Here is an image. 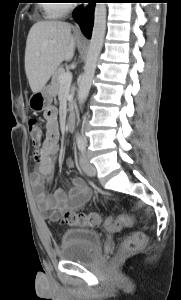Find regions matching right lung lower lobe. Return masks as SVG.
<instances>
[{"label":"right lung lower lobe","instance_id":"right-lung-lower-lobe-1","mask_svg":"<svg viewBox=\"0 0 181 300\" xmlns=\"http://www.w3.org/2000/svg\"><path fill=\"white\" fill-rule=\"evenodd\" d=\"M94 2L95 1H91L89 6L86 9H84V11L81 7H79L73 12L74 18L80 22L82 32L87 38L91 37L93 27L95 5ZM81 15L83 16L80 17Z\"/></svg>","mask_w":181,"mask_h":300}]
</instances>
